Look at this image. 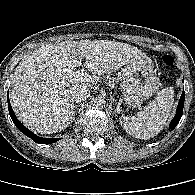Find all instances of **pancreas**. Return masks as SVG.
Segmentation results:
<instances>
[{
    "label": "pancreas",
    "instance_id": "cf45deb5",
    "mask_svg": "<svg viewBox=\"0 0 195 195\" xmlns=\"http://www.w3.org/2000/svg\"><path fill=\"white\" fill-rule=\"evenodd\" d=\"M108 83L112 86L116 84L115 78L113 77H107Z\"/></svg>",
    "mask_w": 195,
    "mask_h": 195
}]
</instances>
